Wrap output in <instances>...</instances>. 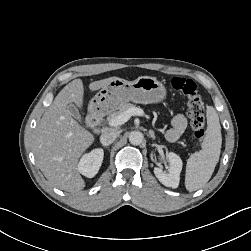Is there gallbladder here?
<instances>
[{
	"mask_svg": "<svg viewBox=\"0 0 251 251\" xmlns=\"http://www.w3.org/2000/svg\"><path fill=\"white\" fill-rule=\"evenodd\" d=\"M68 110H69V112L71 113V115H72L75 119H77V120H79V121L81 120V116H80L79 111H78V109L76 108L75 105H73V104L69 105V106H68Z\"/></svg>",
	"mask_w": 251,
	"mask_h": 251,
	"instance_id": "gallbladder-1",
	"label": "gallbladder"
}]
</instances>
